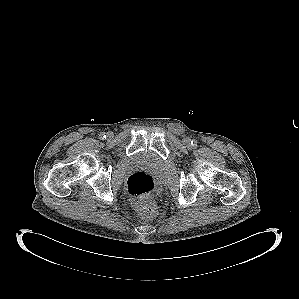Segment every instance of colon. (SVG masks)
Returning a JSON list of instances; mask_svg holds the SVG:
<instances>
[{
    "label": "colon",
    "instance_id": "1",
    "mask_svg": "<svg viewBox=\"0 0 299 299\" xmlns=\"http://www.w3.org/2000/svg\"><path fill=\"white\" fill-rule=\"evenodd\" d=\"M126 187L137 209L144 213L154 210L152 194L157 187V181L153 175L137 171L128 177Z\"/></svg>",
    "mask_w": 299,
    "mask_h": 299
}]
</instances>
